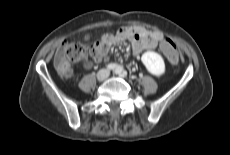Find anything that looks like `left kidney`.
<instances>
[{
	"label": "left kidney",
	"instance_id": "left-kidney-1",
	"mask_svg": "<svg viewBox=\"0 0 230 155\" xmlns=\"http://www.w3.org/2000/svg\"><path fill=\"white\" fill-rule=\"evenodd\" d=\"M141 61L152 75L161 76L165 73V63L160 54L147 51L143 53Z\"/></svg>",
	"mask_w": 230,
	"mask_h": 155
}]
</instances>
